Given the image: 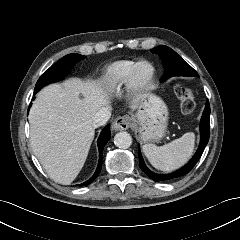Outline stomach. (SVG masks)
I'll list each match as a JSON object with an SVG mask.
<instances>
[{"label": "stomach", "mask_w": 240, "mask_h": 240, "mask_svg": "<svg viewBox=\"0 0 240 240\" xmlns=\"http://www.w3.org/2000/svg\"><path fill=\"white\" fill-rule=\"evenodd\" d=\"M136 119L141 140L156 142L165 135L168 110L159 97L148 95L140 102Z\"/></svg>", "instance_id": "1"}]
</instances>
